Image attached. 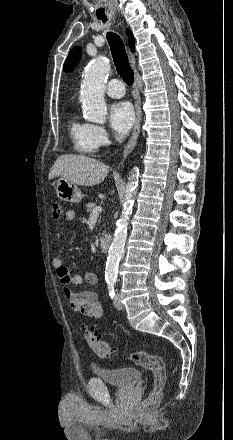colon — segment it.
<instances>
[{
  "label": "colon",
  "mask_w": 233,
  "mask_h": 440,
  "mask_svg": "<svg viewBox=\"0 0 233 440\" xmlns=\"http://www.w3.org/2000/svg\"><path fill=\"white\" fill-rule=\"evenodd\" d=\"M62 215V205L60 203H55L52 212L53 218L59 219ZM82 332L84 339L88 342L97 357L101 359L112 358V348L106 341L101 339L98 331L93 326L87 324L83 325ZM130 360L137 365L153 371L155 381L154 387L141 405L142 411L149 412L158 406L163 396V388L166 382L164 362L160 357L145 351L132 352L130 354Z\"/></svg>",
  "instance_id": "1"
}]
</instances>
